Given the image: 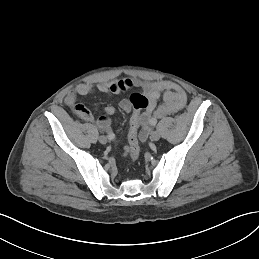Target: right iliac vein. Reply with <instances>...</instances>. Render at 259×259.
<instances>
[{
	"instance_id": "63e3f726",
	"label": "right iliac vein",
	"mask_w": 259,
	"mask_h": 259,
	"mask_svg": "<svg viewBox=\"0 0 259 259\" xmlns=\"http://www.w3.org/2000/svg\"><path fill=\"white\" fill-rule=\"evenodd\" d=\"M107 141H108V140H107V137H106V136L102 135V136L99 137V142H100L101 144H106Z\"/></svg>"
}]
</instances>
